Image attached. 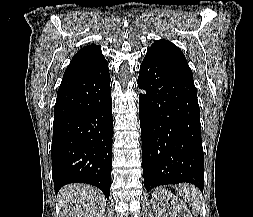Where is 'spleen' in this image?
I'll use <instances>...</instances> for the list:
<instances>
[{
	"label": "spleen",
	"mask_w": 253,
	"mask_h": 217,
	"mask_svg": "<svg viewBox=\"0 0 253 217\" xmlns=\"http://www.w3.org/2000/svg\"><path fill=\"white\" fill-rule=\"evenodd\" d=\"M178 193L184 198L185 201L189 203V205L192 207V211L194 214H197L200 211V192L195 186L189 184H181L178 187Z\"/></svg>",
	"instance_id": "3e777b00"
}]
</instances>
